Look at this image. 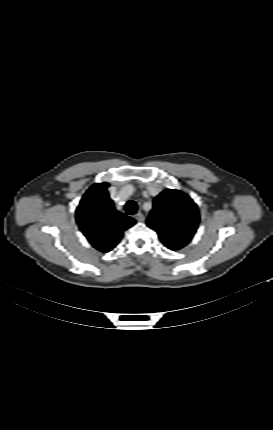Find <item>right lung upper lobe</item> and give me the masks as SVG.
I'll list each match as a JSON object with an SVG mask.
<instances>
[{"mask_svg":"<svg viewBox=\"0 0 273 430\" xmlns=\"http://www.w3.org/2000/svg\"><path fill=\"white\" fill-rule=\"evenodd\" d=\"M107 183L91 186L76 210L80 230L93 247L101 252L112 250L124 230L135 224L134 219L118 212L107 192Z\"/></svg>","mask_w":273,"mask_h":430,"instance_id":"obj_1","label":"right lung upper lobe"}]
</instances>
